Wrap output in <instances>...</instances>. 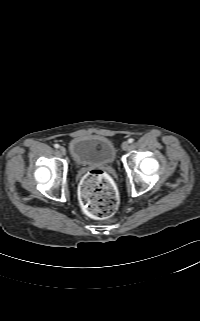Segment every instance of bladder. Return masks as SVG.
Masks as SVG:
<instances>
[{"label": "bladder", "instance_id": "obj_1", "mask_svg": "<svg viewBox=\"0 0 200 321\" xmlns=\"http://www.w3.org/2000/svg\"><path fill=\"white\" fill-rule=\"evenodd\" d=\"M68 148L78 165H109L116 158L114 143L104 136H78L70 141Z\"/></svg>", "mask_w": 200, "mask_h": 321}]
</instances>
